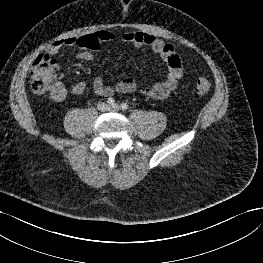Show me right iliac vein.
<instances>
[{
  "label": "right iliac vein",
  "mask_w": 263,
  "mask_h": 263,
  "mask_svg": "<svg viewBox=\"0 0 263 263\" xmlns=\"http://www.w3.org/2000/svg\"><path fill=\"white\" fill-rule=\"evenodd\" d=\"M97 108L99 111L101 112H104L106 110L109 109L108 105L105 103V102H100L98 105H97Z\"/></svg>",
  "instance_id": "63e3f726"
}]
</instances>
